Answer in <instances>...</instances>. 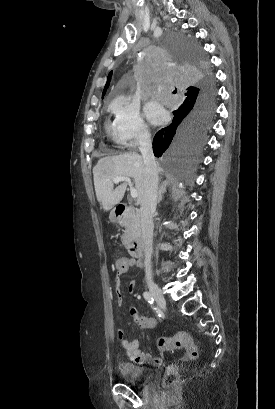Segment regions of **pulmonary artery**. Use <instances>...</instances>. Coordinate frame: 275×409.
<instances>
[{
    "instance_id": "obj_1",
    "label": "pulmonary artery",
    "mask_w": 275,
    "mask_h": 409,
    "mask_svg": "<svg viewBox=\"0 0 275 409\" xmlns=\"http://www.w3.org/2000/svg\"><path fill=\"white\" fill-rule=\"evenodd\" d=\"M156 93H157V94H160V93H161V87H158V89L156 90Z\"/></svg>"
}]
</instances>
